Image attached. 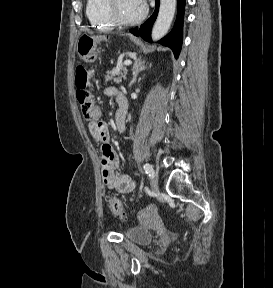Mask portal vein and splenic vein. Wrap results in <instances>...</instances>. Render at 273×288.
<instances>
[{
    "label": "portal vein and splenic vein",
    "instance_id": "obj_1",
    "mask_svg": "<svg viewBox=\"0 0 273 288\" xmlns=\"http://www.w3.org/2000/svg\"><path fill=\"white\" fill-rule=\"evenodd\" d=\"M131 64H132L131 60H126V61H124V65H126V66H129V65H131Z\"/></svg>",
    "mask_w": 273,
    "mask_h": 288
}]
</instances>
